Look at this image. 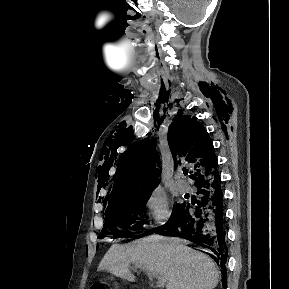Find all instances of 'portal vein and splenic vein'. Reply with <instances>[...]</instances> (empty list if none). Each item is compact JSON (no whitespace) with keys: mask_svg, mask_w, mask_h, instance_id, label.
<instances>
[{"mask_svg":"<svg viewBox=\"0 0 289 289\" xmlns=\"http://www.w3.org/2000/svg\"><path fill=\"white\" fill-rule=\"evenodd\" d=\"M157 285H158V287H162L164 285V283L159 279L158 282H157Z\"/></svg>","mask_w":289,"mask_h":289,"instance_id":"1","label":"portal vein and splenic vein"}]
</instances>
